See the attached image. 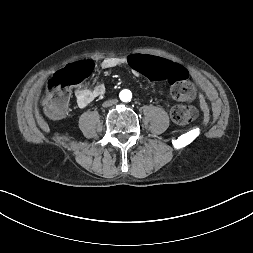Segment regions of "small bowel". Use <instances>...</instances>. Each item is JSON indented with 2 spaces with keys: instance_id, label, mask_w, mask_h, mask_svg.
Here are the masks:
<instances>
[{
  "instance_id": "c3829d8e",
  "label": "small bowel",
  "mask_w": 253,
  "mask_h": 253,
  "mask_svg": "<svg viewBox=\"0 0 253 253\" xmlns=\"http://www.w3.org/2000/svg\"><path fill=\"white\" fill-rule=\"evenodd\" d=\"M131 56L127 57H119V56H109L105 57L101 61V66L104 69H111L118 66H129V59ZM152 57V56H151ZM105 93V86L103 84H97L93 88H78L75 91V98L77 105L80 108H84L88 106L93 100L99 98L100 96L104 95Z\"/></svg>"
}]
</instances>
